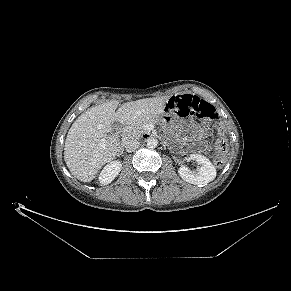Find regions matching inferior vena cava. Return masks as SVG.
Here are the masks:
<instances>
[{
    "instance_id": "1",
    "label": "inferior vena cava",
    "mask_w": 291,
    "mask_h": 291,
    "mask_svg": "<svg viewBox=\"0 0 291 291\" xmlns=\"http://www.w3.org/2000/svg\"><path fill=\"white\" fill-rule=\"evenodd\" d=\"M139 147V141L131 138L129 140H127L125 148L127 152H133L135 151L137 148Z\"/></svg>"
}]
</instances>
